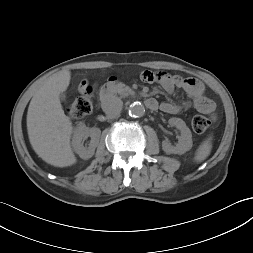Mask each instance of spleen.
Here are the masks:
<instances>
[{"mask_svg": "<svg viewBox=\"0 0 253 253\" xmlns=\"http://www.w3.org/2000/svg\"><path fill=\"white\" fill-rule=\"evenodd\" d=\"M212 138L209 137L205 141L202 142V144L198 147L195 153L194 160L196 162H202L204 161L210 154L211 149H212V143H211Z\"/></svg>", "mask_w": 253, "mask_h": 253, "instance_id": "spleen-1", "label": "spleen"}]
</instances>
